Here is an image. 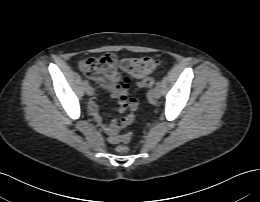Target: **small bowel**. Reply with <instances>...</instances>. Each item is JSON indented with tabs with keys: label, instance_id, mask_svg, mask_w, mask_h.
<instances>
[{
	"label": "small bowel",
	"instance_id": "small-bowel-1",
	"mask_svg": "<svg viewBox=\"0 0 260 202\" xmlns=\"http://www.w3.org/2000/svg\"><path fill=\"white\" fill-rule=\"evenodd\" d=\"M101 87L108 92L111 97L118 100V109L124 116L119 120H113L109 124H104L98 110L96 98L90 100L88 109L96 123H98L104 132L108 135V140L112 144L118 143L117 137L119 132L129 126L134 121V112L138 107V102L135 98L128 96L129 84L124 81L122 84L118 82V77L108 83H100Z\"/></svg>",
	"mask_w": 260,
	"mask_h": 202
}]
</instances>
